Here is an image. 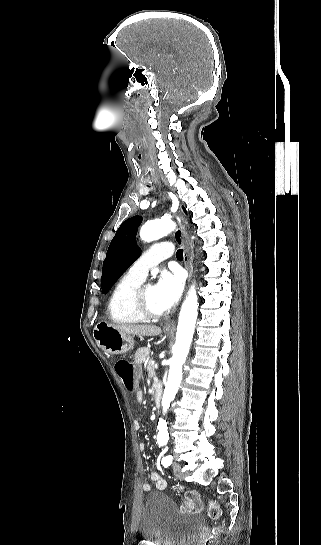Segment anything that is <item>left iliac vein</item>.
I'll list each match as a JSON object with an SVG mask.
<instances>
[{
	"mask_svg": "<svg viewBox=\"0 0 321 545\" xmlns=\"http://www.w3.org/2000/svg\"><path fill=\"white\" fill-rule=\"evenodd\" d=\"M173 472L177 479H183V473L181 471V466L178 463L173 464Z\"/></svg>",
	"mask_w": 321,
	"mask_h": 545,
	"instance_id": "left-iliac-vein-1",
	"label": "left iliac vein"
}]
</instances>
